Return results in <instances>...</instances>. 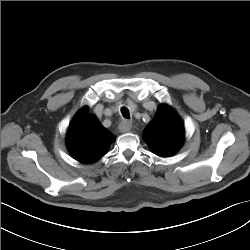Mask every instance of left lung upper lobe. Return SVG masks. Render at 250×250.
Here are the masks:
<instances>
[{
	"label": "left lung upper lobe",
	"mask_w": 250,
	"mask_h": 250,
	"mask_svg": "<svg viewBox=\"0 0 250 250\" xmlns=\"http://www.w3.org/2000/svg\"><path fill=\"white\" fill-rule=\"evenodd\" d=\"M143 138L161 157L176 153L184 142V125L178 114L166 104L159 106L154 119L146 126Z\"/></svg>",
	"instance_id": "5c2ea615"
}]
</instances>
